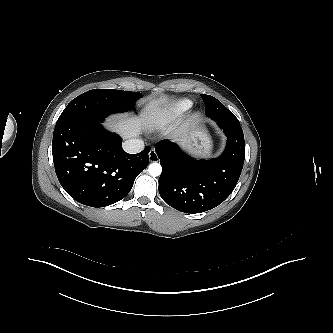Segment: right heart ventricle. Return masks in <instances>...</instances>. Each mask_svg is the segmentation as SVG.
I'll list each match as a JSON object with an SVG mask.
<instances>
[{
	"label": "right heart ventricle",
	"mask_w": 333,
	"mask_h": 333,
	"mask_svg": "<svg viewBox=\"0 0 333 333\" xmlns=\"http://www.w3.org/2000/svg\"><path fill=\"white\" fill-rule=\"evenodd\" d=\"M191 105H192V102L190 100H187V99L178 100V101L174 102L173 104H171L168 108L163 110L159 114L158 120L166 121L168 119L176 117V116L184 113L185 111H187L191 107Z\"/></svg>",
	"instance_id": "obj_1"
}]
</instances>
